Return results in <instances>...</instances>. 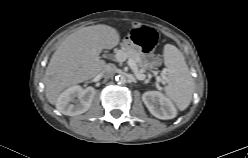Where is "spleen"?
Instances as JSON below:
<instances>
[{"label": "spleen", "mask_w": 248, "mask_h": 158, "mask_svg": "<svg viewBox=\"0 0 248 158\" xmlns=\"http://www.w3.org/2000/svg\"><path fill=\"white\" fill-rule=\"evenodd\" d=\"M164 63L166 65V96L172 100L179 110H185L194 92V81L181 51L173 45L164 47Z\"/></svg>", "instance_id": "1"}]
</instances>
